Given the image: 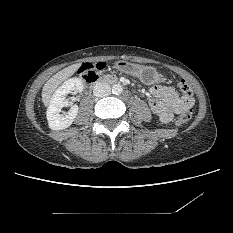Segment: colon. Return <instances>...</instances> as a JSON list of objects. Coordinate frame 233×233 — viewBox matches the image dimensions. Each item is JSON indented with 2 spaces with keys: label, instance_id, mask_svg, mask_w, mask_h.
<instances>
[{
  "label": "colon",
  "instance_id": "1",
  "mask_svg": "<svg viewBox=\"0 0 233 233\" xmlns=\"http://www.w3.org/2000/svg\"><path fill=\"white\" fill-rule=\"evenodd\" d=\"M108 64L104 61H99L97 63H83L78 72L84 77L85 75H95L99 71H103L106 69ZM178 88L183 94V97L187 99L188 101L192 102L193 100V92L188 83L185 80H180L178 83ZM192 112L191 110H188L184 113H182L176 120L175 125L178 127L183 126L190 118H191Z\"/></svg>",
  "mask_w": 233,
  "mask_h": 233
}]
</instances>
